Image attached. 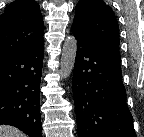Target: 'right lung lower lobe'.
Returning a JSON list of instances; mask_svg holds the SVG:
<instances>
[{"mask_svg": "<svg viewBox=\"0 0 144 137\" xmlns=\"http://www.w3.org/2000/svg\"><path fill=\"white\" fill-rule=\"evenodd\" d=\"M43 39L0 61V124L41 137L40 81Z\"/></svg>", "mask_w": 144, "mask_h": 137, "instance_id": "1", "label": "right lung lower lobe"}]
</instances>
